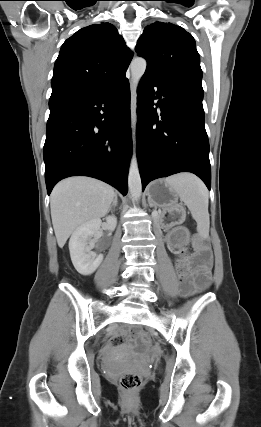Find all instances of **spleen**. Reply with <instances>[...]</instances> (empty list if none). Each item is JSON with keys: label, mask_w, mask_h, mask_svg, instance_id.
<instances>
[{"label": "spleen", "mask_w": 261, "mask_h": 427, "mask_svg": "<svg viewBox=\"0 0 261 427\" xmlns=\"http://www.w3.org/2000/svg\"><path fill=\"white\" fill-rule=\"evenodd\" d=\"M166 183L172 186L180 200L190 210L192 217L197 223L199 235H209L210 218L208 212L209 194L204 183L189 173H180L166 178Z\"/></svg>", "instance_id": "3e777b00"}]
</instances>
